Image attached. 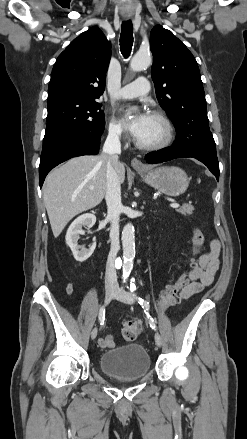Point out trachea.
I'll return each mask as SVG.
<instances>
[{
	"label": "trachea",
	"mask_w": 247,
	"mask_h": 439,
	"mask_svg": "<svg viewBox=\"0 0 247 439\" xmlns=\"http://www.w3.org/2000/svg\"><path fill=\"white\" fill-rule=\"evenodd\" d=\"M133 45V25L130 20L124 21L121 27L120 50L125 58H128Z\"/></svg>",
	"instance_id": "obj_1"
}]
</instances>
